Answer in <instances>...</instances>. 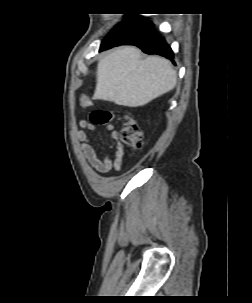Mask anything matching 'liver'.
Here are the masks:
<instances>
[{
  "label": "liver",
  "instance_id": "liver-1",
  "mask_svg": "<svg viewBox=\"0 0 252 303\" xmlns=\"http://www.w3.org/2000/svg\"><path fill=\"white\" fill-rule=\"evenodd\" d=\"M176 82L177 73L167 59L159 56L141 59L138 48L121 47L99 61L93 97L138 107L171 91Z\"/></svg>",
  "mask_w": 252,
  "mask_h": 303
}]
</instances>
